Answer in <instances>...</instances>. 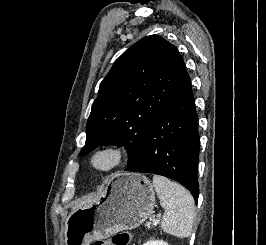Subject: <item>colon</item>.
<instances>
[{
    "mask_svg": "<svg viewBox=\"0 0 266 245\" xmlns=\"http://www.w3.org/2000/svg\"><path fill=\"white\" fill-rule=\"evenodd\" d=\"M131 238L130 231H120L115 233L112 238L111 242L112 245H128ZM107 243L103 240H99L95 242V245H106Z\"/></svg>",
    "mask_w": 266,
    "mask_h": 245,
    "instance_id": "5ec220e1",
    "label": "colon"
}]
</instances>
